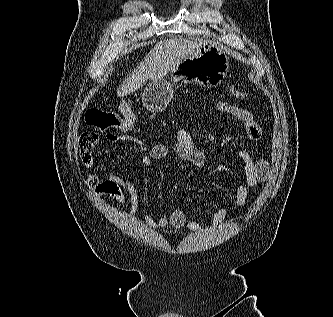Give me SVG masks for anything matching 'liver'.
I'll use <instances>...</instances> for the list:
<instances>
[{
  "mask_svg": "<svg viewBox=\"0 0 333 317\" xmlns=\"http://www.w3.org/2000/svg\"><path fill=\"white\" fill-rule=\"evenodd\" d=\"M207 41L174 38L158 42L133 73L127 77L118 89L117 96L124 97L138 90L148 79L163 78L182 61L197 55Z\"/></svg>",
  "mask_w": 333,
  "mask_h": 317,
  "instance_id": "1",
  "label": "liver"
}]
</instances>
